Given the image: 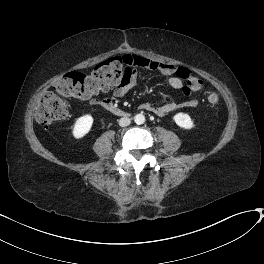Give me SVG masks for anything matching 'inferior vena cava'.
<instances>
[{"label": "inferior vena cava", "instance_id": "inferior-vena-cava-1", "mask_svg": "<svg viewBox=\"0 0 264 264\" xmlns=\"http://www.w3.org/2000/svg\"><path fill=\"white\" fill-rule=\"evenodd\" d=\"M130 123H131V120L128 117H123V118L119 119V125L121 127L129 126Z\"/></svg>", "mask_w": 264, "mask_h": 264}]
</instances>
